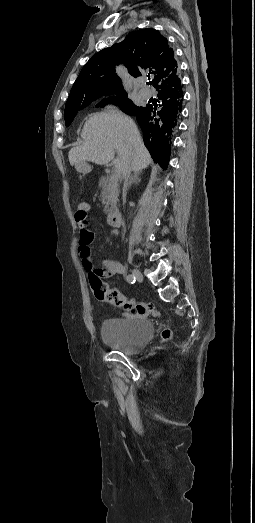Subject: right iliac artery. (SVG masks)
Returning a JSON list of instances; mask_svg holds the SVG:
<instances>
[{
  "instance_id": "obj_1",
  "label": "right iliac artery",
  "mask_w": 255,
  "mask_h": 523,
  "mask_svg": "<svg viewBox=\"0 0 255 523\" xmlns=\"http://www.w3.org/2000/svg\"><path fill=\"white\" fill-rule=\"evenodd\" d=\"M126 281H127L128 283L134 284L135 281H136V278H135L134 275L129 274V275L126 276Z\"/></svg>"
}]
</instances>
